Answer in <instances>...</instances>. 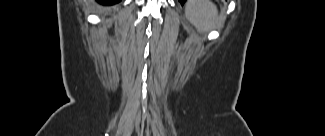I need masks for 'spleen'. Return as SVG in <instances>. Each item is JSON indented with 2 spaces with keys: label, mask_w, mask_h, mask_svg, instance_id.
Wrapping results in <instances>:
<instances>
[{
  "label": "spleen",
  "mask_w": 325,
  "mask_h": 136,
  "mask_svg": "<svg viewBox=\"0 0 325 136\" xmlns=\"http://www.w3.org/2000/svg\"><path fill=\"white\" fill-rule=\"evenodd\" d=\"M185 15L195 27L205 31L219 29L224 23V18L218 16L216 6L207 0H189Z\"/></svg>",
  "instance_id": "1"
}]
</instances>
